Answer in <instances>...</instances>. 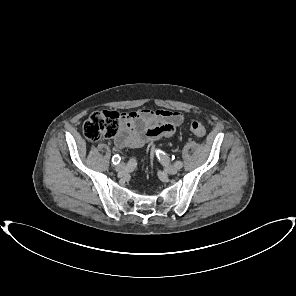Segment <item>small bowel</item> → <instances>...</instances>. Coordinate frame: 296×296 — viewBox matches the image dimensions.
Listing matches in <instances>:
<instances>
[{
    "label": "small bowel",
    "mask_w": 296,
    "mask_h": 296,
    "mask_svg": "<svg viewBox=\"0 0 296 296\" xmlns=\"http://www.w3.org/2000/svg\"><path fill=\"white\" fill-rule=\"evenodd\" d=\"M183 120L182 113L168 109H140L123 113L114 144L118 148H138L147 142L170 137Z\"/></svg>",
    "instance_id": "small-bowel-1"
}]
</instances>
